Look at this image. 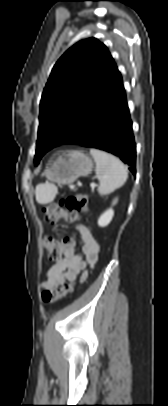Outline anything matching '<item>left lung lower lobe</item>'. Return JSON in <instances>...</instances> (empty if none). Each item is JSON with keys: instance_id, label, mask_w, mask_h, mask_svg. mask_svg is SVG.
<instances>
[{"instance_id": "left-lung-lower-lobe-1", "label": "left lung lower lobe", "mask_w": 168, "mask_h": 406, "mask_svg": "<svg viewBox=\"0 0 168 406\" xmlns=\"http://www.w3.org/2000/svg\"><path fill=\"white\" fill-rule=\"evenodd\" d=\"M97 148L118 156L135 175L136 146L120 72L96 102L80 130L62 145Z\"/></svg>"}]
</instances>
